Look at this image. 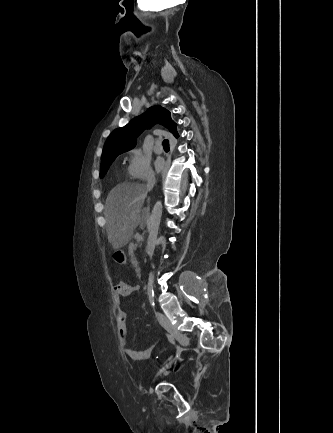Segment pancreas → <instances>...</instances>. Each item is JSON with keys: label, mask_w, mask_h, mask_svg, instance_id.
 I'll return each mask as SVG.
<instances>
[{"label": "pancreas", "mask_w": 333, "mask_h": 433, "mask_svg": "<svg viewBox=\"0 0 333 433\" xmlns=\"http://www.w3.org/2000/svg\"><path fill=\"white\" fill-rule=\"evenodd\" d=\"M137 246L138 245L136 243L135 244H131L129 246V256H130L132 264L135 265V267H137V265H138V263L136 261L135 254H134V251L136 250Z\"/></svg>", "instance_id": "pancreas-1"}]
</instances>
